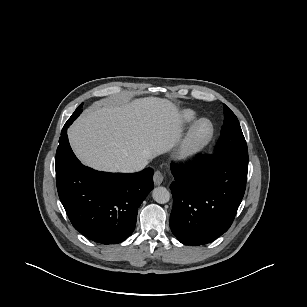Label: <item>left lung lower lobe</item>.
<instances>
[{"mask_svg": "<svg viewBox=\"0 0 307 307\" xmlns=\"http://www.w3.org/2000/svg\"><path fill=\"white\" fill-rule=\"evenodd\" d=\"M170 228L185 245L212 242L231 226L242 201L248 163L230 156L171 164Z\"/></svg>", "mask_w": 307, "mask_h": 307, "instance_id": "left-lung-lower-lobe-1", "label": "left lung lower lobe"}]
</instances>
